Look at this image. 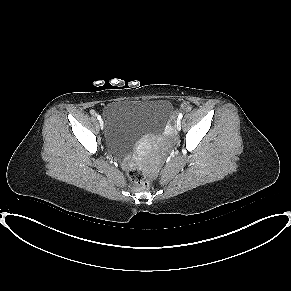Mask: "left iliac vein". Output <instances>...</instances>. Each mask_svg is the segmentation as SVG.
<instances>
[{"label": "left iliac vein", "mask_w": 291, "mask_h": 291, "mask_svg": "<svg viewBox=\"0 0 291 291\" xmlns=\"http://www.w3.org/2000/svg\"><path fill=\"white\" fill-rule=\"evenodd\" d=\"M176 129L180 130L181 129V121L178 119L176 122Z\"/></svg>", "instance_id": "1"}]
</instances>
